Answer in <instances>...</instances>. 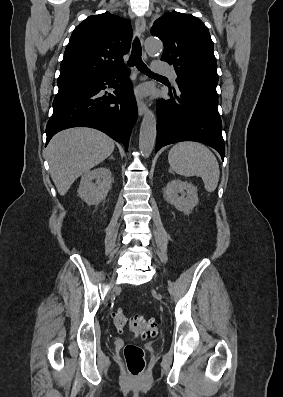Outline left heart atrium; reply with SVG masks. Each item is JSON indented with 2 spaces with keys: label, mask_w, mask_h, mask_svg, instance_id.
<instances>
[{
  "label": "left heart atrium",
  "mask_w": 283,
  "mask_h": 397,
  "mask_svg": "<svg viewBox=\"0 0 283 397\" xmlns=\"http://www.w3.org/2000/svg\"><path fill=\"white\" fill-rule=\"evenodd\" d=\"M147 92H148V90L146 88H144V87L138 89V94L139 95H145V94H147Z\"/></svg>",
  "instance_id": "39dd6f15"
}]
</instances>
